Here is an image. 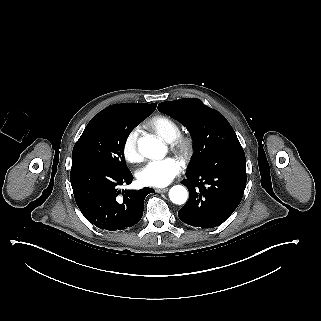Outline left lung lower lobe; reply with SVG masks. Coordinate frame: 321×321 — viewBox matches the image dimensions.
Returning <instances> with one entry per match:
<instances>
[{
  "label": "left lung lower lobe",
  "mask_w": 321,
  "mask_h": 321,
  "mask_svg": "<svg viewBox=\"0 0 321 321\" xmlns=\"http://www.w3.org/2000/svg\"><path fill=\"white\" fill-rule=\"evenodd\" d=\"M246 158L242 147L212 155L182 180L190 193L178 211L184 223L213 228L227 220L239 205L246 187Z\"/></svg>",
  "instance_id": "0a47b994"
}]
</instances>
